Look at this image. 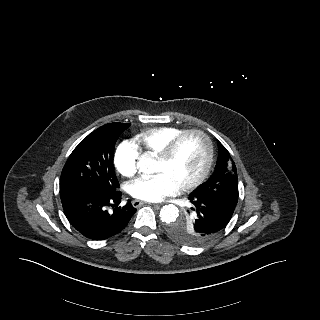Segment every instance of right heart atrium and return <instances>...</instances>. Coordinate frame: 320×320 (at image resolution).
Instances as JSON below:
<instances>
[{
	"instance_id": "d8ad5b80",
	"label": "right heart atrium",
	"mask_w": 320,
	"mask_h": 320,
	"mask_svg": "<svg viewBox=\"0 0 320 320\" xmlns=\"http://www.w3.org/2000/svg\"><path fill=\"white\" fill-rule=\"evenodd\" d=\"M139 150L130 140L122 141L114 155V164L117 171L124 177L130 178L137 172Z\"/></svg>"
}]
</instances>
